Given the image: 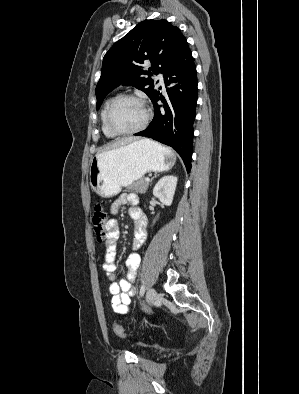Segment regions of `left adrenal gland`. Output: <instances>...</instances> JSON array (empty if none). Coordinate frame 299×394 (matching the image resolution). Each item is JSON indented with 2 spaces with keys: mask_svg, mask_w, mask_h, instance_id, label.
<instances>
[{
  "mask_svg": "<svg viewBox=\"0 0 299 394\" xmlns=\"http://www.w3.org/2000/svg\"><path fill=\"white\" fill-rule=\"evenodd\" d=\"M154 177H156V175H155ZM154 177H153V178H154ZM153 178L151 179V181L153 180Z\"/></svg>",
  "mask_w": 299,
  "mask_h": 394,
  "instance_id": "obj_1",
  "label": "left adrenal gland"
}]
</instances>
